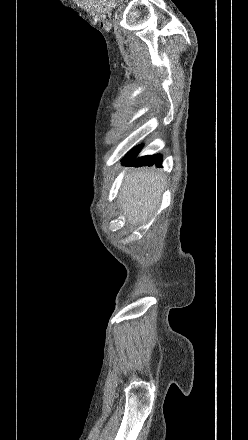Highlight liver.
<instances>
[{
	"instance_id": "1",
	"label": "liver",
	"mask_w": 248,
	"mask_h": 440,
	"mask_svg": "<svg viewBox=\"0 0 248 440\" xmlns=\"http://www.w3.org/2000/svg\"><path fill=\"white\" fill-rule=\"evenodd\" d=\"M164 179L154 170L128 173L119 194V206L127 222H146L161 200Z\"/></svg>"
}]
</instances>
